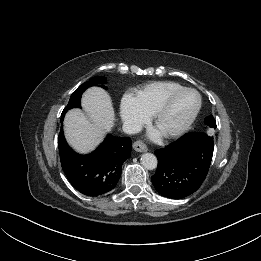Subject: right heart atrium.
Masks as SVG:
<instances>
[{
  "label": "right heart atrium",
  "instance_id": "obj_1",
  "mask_svg": "<svg viewBox=\"0 0 261 261\" xmlns=\"http://www.w3.org/2000/svg\"><path fill=\"white\" fill-rule=\"evenodd\" d=\"M120 115L130 131L138 130L148 120L147 115L137 105L135 97L130 94H126L121 100Z\"/></svg>",
  "mask_w": 261,
  "mask_h": 261
}]
</instances>
